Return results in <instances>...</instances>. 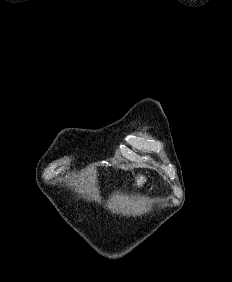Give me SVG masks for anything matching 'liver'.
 <instances>
[{"mask_svg": "<svg viewBox=\"0 0 232 282\" xmlns=\"http://www.w3.org/2000/svg\"><path fill=\"white\" fill-rule=\"evenodd\" d=\"M145 181H146V178H145V177L139 176V177L137 178V185H138V186H142V185L145 183Z\"/></svg>", "mask_w": 232, "mask_h": 282, "instance_id": "liver-1", "label": "liver"}]
</instances>
